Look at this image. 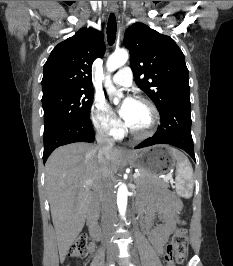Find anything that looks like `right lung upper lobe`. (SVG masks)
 I'll use <instances>...</instances> for the list:
<instances>
[{"instance_id": "1", "label": "right lung upper lobe", "mask_w": 233, "mask_h": 266, "mask_svg": "<svg viewBox=\"0 0 233 266\" xmlns=\"http://www.w3.org/2000/svg\"><path fill=\"white\" fill-rule=\"evenodd\" d=\"M104 53L103 33L91 28H82L74 36L59 43L44 65L43 95L92 88V64Z\"/></svg>"}]
</instances>
